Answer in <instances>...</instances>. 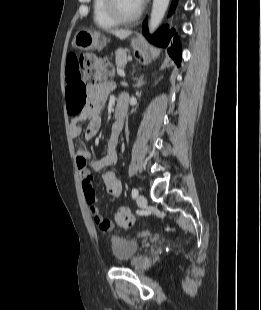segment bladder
Listing matches in <instances>:
<instances>
[{
  "instance_id": "31cf9c89",
  "label": "bladder",
  "mask_w": 261,
  "mask_h": 310,
  "mask_svg": "<svg viewBox=\"0 0 261 310\" xmlns=\"http://www.w3.org/2000/svg\"><path fill=\"white\" fill-rule=\"evenodd\" d=\"M111 253L116 262L122 263L131 260L139 251L138 241L121 235L110 238Z\"/></svg>"
}]
</instances>
